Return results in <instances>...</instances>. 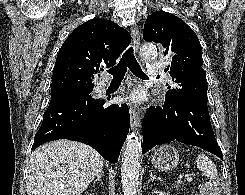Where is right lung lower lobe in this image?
Instances as JSON below:
<instances>
[{
    "label": "right lung lower lobe",
    "mask_w": 245,
    "mask_h": 195,
    "mask_svg": "<svg viewBox=\"0 0 245 195\" xmlns=\"http://www.w3.org/2000/svg\"><path fill=\"white\" fill-rule=\"evenodd\" d=\"M93 88L51 99L32 150L45 142L69 139L93 147L111 163L118 161L129 131V110L126 104L103 107V100L90 95Z\"/></svg>",
    "instance_id": "right-lung-lower-lobe-1"
}]
</instances>
